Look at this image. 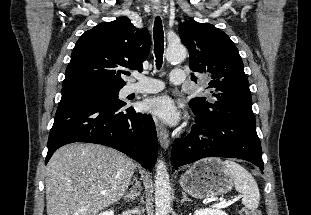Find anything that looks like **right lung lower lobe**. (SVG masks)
I'll use <instances>...</instances> for the list:
<instances>
[{"label": "right lung lower lobe", "mask_w": 311, "mask_h": 215, "mask_svg": "<svg viewBox=\"0 0 311 215\" xmlns=\"http://www.w3.org/2000/svg\"><path fill=\"white\" fill-rule=\"evenodd\" d=\"M123 106L101 107L89 103L59 105L50 130L45 164L61 146L89 142L119 150L146 168L157 158V134L151 115Z\"/></svg>", "instance_id": "right-lung-lower-lobe-1"}]
</instances>
